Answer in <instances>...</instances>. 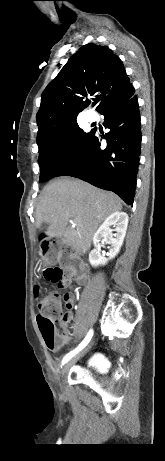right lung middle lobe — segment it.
Returning <instances> with one entry per match:
<instances>
[{
    "instance_id": "dd1d6c3e",
    "label": "right lung middle lobe",
    "mask_w": 165,
    "mask_h": 461,
    "mask_svg": "<svg viewBox=\"0 0 165 461\" xmlns=\"http://www.w3.org/2000/svg\"><path fill=\"white\" fill-rule=\"evenodd\" d=\"M91 133L84 132L74 119L37 139L41 170L39 181L55 177L83 149Z\"/></svg>"
}]
</instances>
